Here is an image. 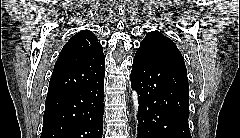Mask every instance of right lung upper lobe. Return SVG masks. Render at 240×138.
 <instances>
[{
	"instance_id": "1",
	"label": "right lung upper lobe",
	"mask_w": 240,
	"mask_h": 138,
	"mask_svg": "<svg viewBox=\"0 0 240 138\" xmlns=\"http://www.w3.org/2000/svg\"><path fill=\"white\" fill-rule=\"evenodd\" d=\"M105 57L97 37L82 30L62 48L49 82L47 98L87 88L104 76Z\"/></svg>"
}]
</instances>
